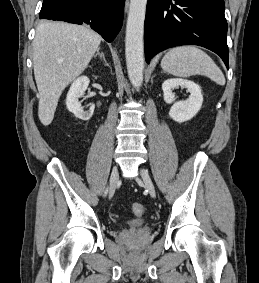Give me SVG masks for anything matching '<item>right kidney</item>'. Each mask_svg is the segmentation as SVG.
Wrapping results in <instances>:
<instances>
[{"instance_id":"right-kidney-1","label":"right kidney","mask_w":259,"mask_h":283,"mask_svg":"<svg viewBox=\"0 0 259 283\" xmlns=\"http://www.w3.org/2000/svg\"><path fill=\"white\" fill-rule=\"evenodd\" d=\"M89 83L90 80L86 76L77 78L72 83L66 98L67 109L73 113L76 118L84 121H87L92 117L95 109V105L92 104L88 110H83L81 103L79 102V98L84 95Z\"/></svg>"}]
</instances>
